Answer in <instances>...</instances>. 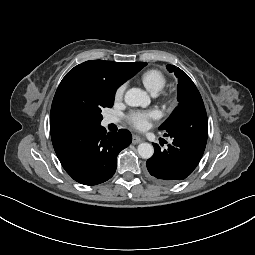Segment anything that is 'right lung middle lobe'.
I'll use <instances>...</instances> for the list:
<instances>
[{
    "label": "right lung middle lobe",
    "instance_id": "1",
    "mask_svg": "<svg viewBox=\"0 0 255 255\" xmlns=\"http://www.w3.org/2000/svg\"><path fill=\"white\" fill-rule=\"evenodd\" d=\"M115 91L101 82L64 77L55 93L50 117L66 126H98L102 109L113 106Z\"/></svg>",
    "mask_w": 255,
    "mask_h": 255
}]
</instances>
